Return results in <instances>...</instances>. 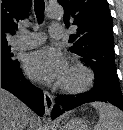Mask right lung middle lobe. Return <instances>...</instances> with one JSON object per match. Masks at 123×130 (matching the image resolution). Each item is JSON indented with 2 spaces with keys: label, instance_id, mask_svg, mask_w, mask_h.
Segmentation results:
<instances>
[{
  "label": "right lung middle lobe",
  "instance_id": "right-lung-middle-lobe-1",
  "mask_svg": "<svg viewBox=\"0 0 123 130\" xmlns=\"http://www.w3.org/2000/svg\"><path fill=\"white\" fill-rule=\"evenodd\" d=\"M10 52L11 48L7 44H1V61L15 65L18 60L14 59L13 54Z\"/></svg>",
  "mask_w": 123,
  "mask_h": 130
}]
</instances>
